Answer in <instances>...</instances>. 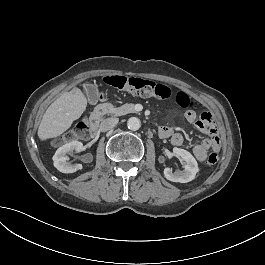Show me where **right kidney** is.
Segmentation results:
<instances>
[{
  "instance_id": "ca27d5eb",
  "label": "right kidney",
  "mask_w": 265,
  "mask_h": 265,
  "mask_svg": "<svg viewBox=\"0 0 265 265\" xmlns=\"http://www.w3.org/2000/svg\"><path fill=\"white\" fill-rule=\"evenodd\" d=\"M83 150V143L81 141H73L67 143L57 149L55 154L52 157L54 167L61 173L69 174L81 170L83 168L82 164H73L70 165L67 162V155L69 152L77 151L80 152Z\"/></svg>"
}]
</instances>
